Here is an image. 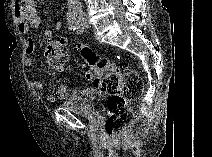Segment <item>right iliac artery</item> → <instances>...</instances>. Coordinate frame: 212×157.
Returning <instances> with one entry per match:
<instances>
[{
    "label": "right iliac artery",
    "instance_id": "82829eb1",
    "mask_svg": "<svg viewBox=\"0 0 212 157\" xmlns=\"http://www.w3.org/2000/svg\"><path fill=\"white\" fill-rule=\"evenodd\" d=\"M67 25L69 30L75 31L77 29V20L74 14L70 15L67 19Z\"/></svg>",
    "mask_w": 212,
    "mask_h": 157
}]
</instances>
